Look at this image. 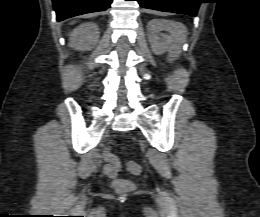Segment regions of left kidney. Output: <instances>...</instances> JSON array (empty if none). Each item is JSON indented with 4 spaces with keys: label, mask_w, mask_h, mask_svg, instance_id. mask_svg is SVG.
I'll return each mask as SVG.
<instances>
[{
    "label": "left kidney",
    "mask_w": 260,
    "mask_h": 217,
    "mask_svg": "<svg viewBox=\"0 0 260 217\" xmlns=\"http://www.w3.org/2000/svg\"><path fill=\"white\" fill-rule=\"evenodd\" d=\"M149 30V42L152 51L156 55L163 54L164 52H169L168 60L172 62L180 55L182 39L177 34L175 26L173 23L152 20L148 23ZM169 31L171 37L167 36L163 40L159 34L161 31Z\"/></svg>",
    "instance_id": "left-kidney-1"
}]
</instances>
